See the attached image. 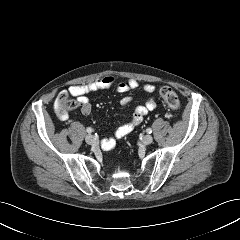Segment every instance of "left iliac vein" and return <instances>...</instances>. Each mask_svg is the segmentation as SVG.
I'll list each match as a JSON object with an SVG mask.
<instances>
[{
    "mask_svg": "<svg viewBox=\"0 0 240 240\" xmlns=\"http://www.w3.org/2000/svg\"><path fill=\"white\" fill-rule=\"evenodd\" d=\"M142 142L144 145H149L153 142V137L151 135H146L143 137Z\"/></svg>",
    "mask_w": 240,
    "mask_h": 240,
    "instance_id": "obj_1",
    "label": "left iliac vein"
}]
</instances>
